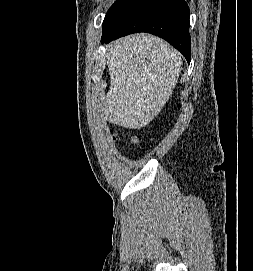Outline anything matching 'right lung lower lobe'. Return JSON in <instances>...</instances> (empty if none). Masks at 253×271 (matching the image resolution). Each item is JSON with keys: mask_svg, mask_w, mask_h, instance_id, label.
Returning a JSON list of instances; mask_svg holds the SVG:
<instances>
[{"mask_svg": "<svg viewBox=\"0 0 253 271\" xmlns=\"http://www.w3.org/2000/svg\"><path fill=\"white\" fill-rule=\"evenodd\" d=\"M189 16L185 0H135L117 25L102 33L101 42L108 43L128 34L147 32L165 39L190 63Z\"/></svg>", "mask_w": 253, "mask_h": 271, "instance_id": "1", "label": "right lung lower lobe"}]
</instances>
